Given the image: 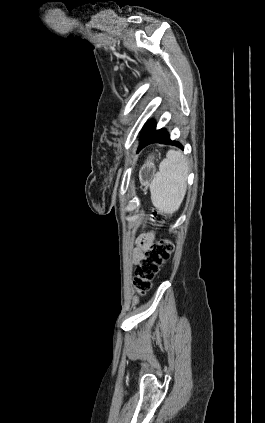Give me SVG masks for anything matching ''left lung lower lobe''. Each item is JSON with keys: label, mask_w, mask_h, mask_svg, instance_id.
<instances>
[{"label": "left lung lower lobe", "mask_w": 265, "mask_h": 423, "mask_svg": "<svg viewBox=\"0 0 265 423\" xmlns=\"http://www.w3.org/2000/svg\"><path fill=\"white\" fill-rule=\"evenodd\" d=\"M156 124L150 123L146 128L144 134L141 137V142L138 147V151H140L145 146L152 144V143H163V144H171L176 145L182 148L181 144L175 141H171L168 132L165 129L155 130Z\"/></svg>", "instance_id": "0a47b994"}]
</instances>
